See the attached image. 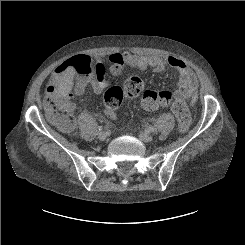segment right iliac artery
<instances>
[{
  "label": "right iliac artery",
  "mask_w": 245,
  "mask_h": 245,
  "mask_svg": "<svg viewBox=\"0 0 245 245\" xmlns=\"http://www.w3.org/2000/svg\"><path fill=\"white\" fill-rule=\"evenodd\" d=\"M103 129L102 126H98V130L101 131Z\"/></svg>",
  "instance_id": "1"
}]
</instances>
